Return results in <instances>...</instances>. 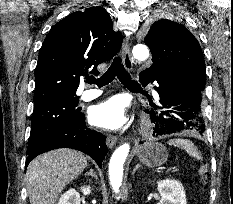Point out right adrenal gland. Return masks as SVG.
<instances>
[{
	"instance_id": "1",
	"label": "right adrenal gland",
	"mask_w": 233,
	"mask_h": 204,
	"mask_svg": "<svg viewBox=\"0 0 233 204\" xmlns=\"http://www.w3.org/2000/svg\"><path fill=\"white\" fill-rule=\"evenodd\" d=\"M85 175H91L97 179L96 173L93 171V169H90L89 172H86Z\"/></svg>"
}]
</instances>
